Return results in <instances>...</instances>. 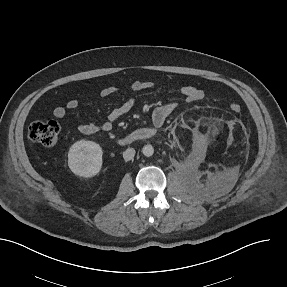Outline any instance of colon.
I'll use <instances>...</instances> for the list:
<instances>
[{
	"label": "colon",
	"mask_w": 287,
	"mask_h": 287,
	"mask_svg": "<svg viewBox=\"0 0 287 287\" xmlns=\"http://www.w3.org/2000/svg\"><path fill=\"white\" fill-rule=\"evenodd\" d=\"M229 109L233 113H240L242 105L237 100L229 103ZM60 132V127L55 121H35L28 129L29 139L44 147H52L56 144Z\"/></svg>",
	"instance_id": "1"
}]
</instances>
